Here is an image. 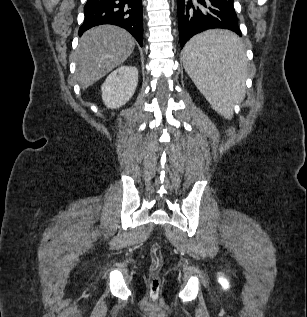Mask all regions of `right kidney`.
Returning <instances> with one entry per match:
<instances>
[{"label":"right kidney","mask_w":307,"mask_h":317,"mask_svg":"<svg viewBox=\"0 0 307 317\" xmlns=\"http://www.w3.org/2000/svg\"><path fill=\"white\" fill-rule=\"evenodd\" d=\"M138 83V69L121 66L113 71L102 84V99L107 108L118 109L133 96Z\"/></svg>","instance_id":"ca27d5eb"}]
</instances>
